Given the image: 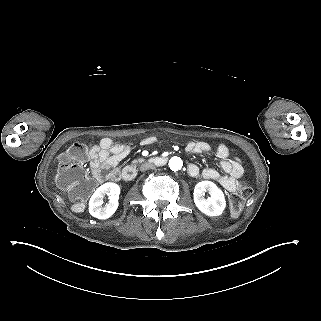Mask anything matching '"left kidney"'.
<instances>
[{
	"label": "left kidney",
	"instance_id": "1",
	"mask_svg": "<svg viewBox=\"0 0 321 321\" xmlns=\"http://www.w3.org/2000/svg\"><path fill=\"white\" fill-rule=\"evenodd\" d=\"M207 191L210 197L205 199L204 194ZM193 200L198 210L207 216H220L226 209L223 191L211 181L203 180L197 183L193 192Z\"/></svg>",
	"mask_w": 321,
	"mask_h": 321
}]
</instances>
